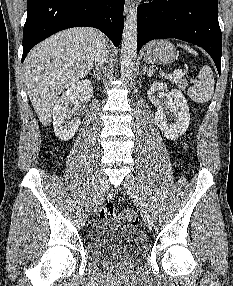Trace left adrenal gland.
Segmentation results:
<instances>
[{"instance_id":"1","label":"left adrenal gland","mask_w":233,"mask_h":286,"mask_svg":"<svg viewBox=\"0 0 233 286\" xmlns=\"http://www.w3.org/2000/svg\"><path fill=\"white\" fill-rule=\"evenodd\" d=\"M142 74L143 75H147L148 77H151L153 75V70L150 68V69H147V66L146 64L143 65V70H142Z\"/></svg>"}]
</instances>
